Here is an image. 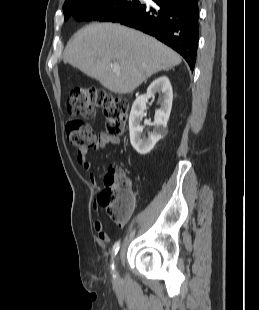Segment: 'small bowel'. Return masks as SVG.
<instances>
[{
    "label": "small bowel",
    "mask_w": 259,
    "mask_h": 310,
    "mask_svg": "<svg viewBox=\"0 0 259 310\" xmlns=\"http://www.w3.org/2000/svg\"><path fill=\"white\" fill-rule=\"evenodd\" d=\"M119 144V138L116 136L109 135L107 133H100L98 136V141L94 146L95 150L102 149L108 145L114 146ZM77 162L82 166V168L88 172L89 180L92 186L96 189H100V185L97 182V177L95 173L92 171V163L88 159V149L87 148H79L76 153ZM129 220V216L121 223L120 226H124ZM94 230L101 236L103 240L107 239V234L104 232L103 224L100 221L94 222Z\"/></svg>",
    "instance_id": "small-bowel-1"
}]
</instances>
